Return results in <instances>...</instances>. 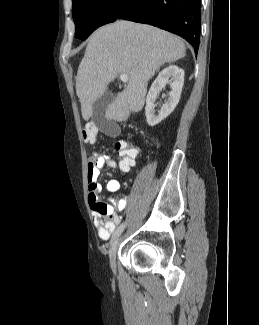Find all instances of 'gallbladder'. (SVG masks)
Segmentation results:
<instances>
[{
  "instance_id": "bac80fb5",
  "label": "gallbladder",
  "mask_w": 259,
  "mask_h": 325,
  "mask_svg": "<svg viewBox=\"0 0 259 325\" xmlns=\"http://www.w3.org/2000/svg\"><path fill=\"white\" fill-rule=\"evenodd\" d=\"M114 100V94L111 92L104 93L93 104V120L98 124L100 129L104 132L105 136H112L117 138L118 126L115 122H109L104 118V112Z\"/></svg>"
}]
</instances>
